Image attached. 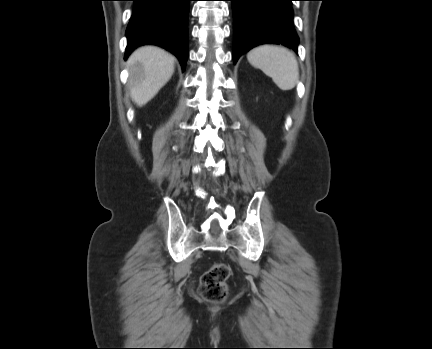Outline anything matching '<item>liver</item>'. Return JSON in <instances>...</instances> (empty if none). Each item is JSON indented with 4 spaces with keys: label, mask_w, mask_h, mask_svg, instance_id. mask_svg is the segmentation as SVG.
I'll return each instance as SVG.
<instances>
[{
    "label": "liver",
    "mask_w": 432,
    "mask_h": 349,
    "mask_svg": "<svg viewBox=\"0 0 432 349\" xmlns=\"http://www.w3.org/2000/svg\"><path fill=\"white\" fill-rule=\"evenodd\" d=\"M175 58L155 46L136 49L128 58L131 97L138 106L148 103L170 80Z\"/></svg>",
    "instance_id": "obj_1"
}]
</instances>
